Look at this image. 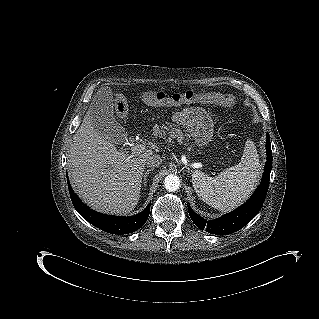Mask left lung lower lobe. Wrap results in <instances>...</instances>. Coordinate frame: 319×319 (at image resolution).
<instances>
[{
    "label": "left lung lower lobe",
    "mask_w": 319,
    "mask_h": 319,
    "mask_svg": "<svg viewBox=\"0 0 319 319\" xmlns=\"http://www.w3.org/2000/svg\"><path fill=\"white\" fill-rule=\"evenodd\" d=\"M266 151L267 161L261 183L252 197L242 206L225 214L219 219L210 221H206L188 207L190 217L198 228L206 230L211 234L228 235L243 228L257 215L266 197L272 166V151L270 146V136L268 133L266 139Z\"/></svg>",
    "instance_id": "obj_1"
}]
</instances>
